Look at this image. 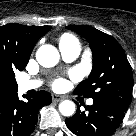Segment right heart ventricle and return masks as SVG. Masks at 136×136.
Returning <instances> with one entry per match:
<instances>
[{
	"label": "right heart ventricle",
	"instance_id": "obj_1",
	"mask_svg": "<svg viewBox=\"0 0 136 136\" xmlns=\"http://www.w3.org/2000/svg\"><path fill=\"white\" fill-rule=\"evenodd\" d=\"M79 44L77 39L71 35V34H63L60 39H59V44H64V45H67V44Z\"/></svg>",
	"mask_w": 136,
	"mask_h": 136
}]
</instances>
